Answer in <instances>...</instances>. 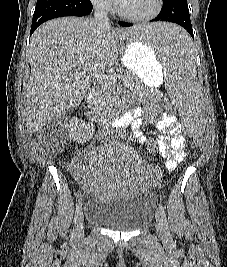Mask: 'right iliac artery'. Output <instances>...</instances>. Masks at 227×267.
I'll return each instance as SVG.
<instances>
[{
	"instance_id": "1",
	"label": "right iliac artery",
	"mask_w": 227,
	"mask_h": 267,
	"mask_svg": "<svg viewBox=\"0 0 227 267\" xmlns=\"http://www.w3.org/2000/svg\"><path fill=\"white\" fill-rule=\"evenodd\" d=\"M81 207H82V202H79V204H78L77 207H76L75 216H74V224H75V225H76V223H77L79 214L81 213ZM74 235H75V229L73 230L71 237L73 238Z\"/></svg>"
}]
</instances>
